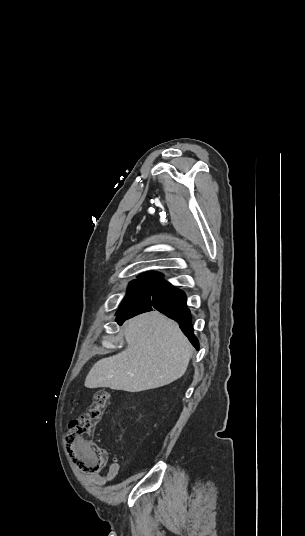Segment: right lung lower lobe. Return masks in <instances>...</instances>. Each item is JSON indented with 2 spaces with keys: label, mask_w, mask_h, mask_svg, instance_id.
<instances>
[{
  "label": "right lung lower lobe",
  "mask_w": 305,
  "mask_h": 536,
  "mask_svg": "<svg viewBox=\"0 0 305 536\" xmlns=\"http://www.w3.org/2000/svg\"><path fill=\"white\" fill-rule=\"evenodd\" d=\"M156 309L171 319L176 320L183 333L189 338L193 346L198 350L199 342L193 334L190 310L186 305V296L183 291L173 287L166 281H162L149 293L138 299L122 312H117L116 321L122 324L124 320L135 315Z\"/></svg>",
  "instance_id": "98d812e1"
}]
</instances>
